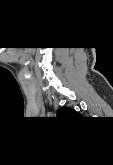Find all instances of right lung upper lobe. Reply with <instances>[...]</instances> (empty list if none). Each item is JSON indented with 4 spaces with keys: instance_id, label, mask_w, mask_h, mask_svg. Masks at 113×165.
Here are the masks:
<instances>
[{
    "instance_id": "cb5924a9",
    "label": "right lung upper lobe",
    "mask_w": 113,
    "mask_h": 165,
    "mask_svg": "<svg viewBox=\"0 0 113 165\" xmlns=\"http://www.w3.org/2000/svg\"><path fill=\"white\" fill-rule=\"evenodd\" d=\"M58 115H65V116H75L77 112L74 109L69 107L60 108L57 112Z\"/></svg>"
}]
</instances>
